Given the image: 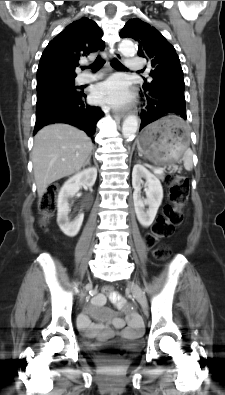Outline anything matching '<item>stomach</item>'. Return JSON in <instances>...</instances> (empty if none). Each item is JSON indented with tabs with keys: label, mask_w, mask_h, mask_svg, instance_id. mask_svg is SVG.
<instances>
[{
	"label": "stomach",
	"mask_w": 225,
	"mask_h": 395,
	"mask_svg": "<svg viewBox=\"0 0 225 395\" xmlns=\"http://www.w3.org/2000/svg\"><path fill=\"white\" fill-rule=\"evenodd\" d=\"M185 127L177 116L163 117L141 132L137 141L138 150L156 164L176 162L189 146Z\"/></svg>",
	"instance_id": "1"
}]
</instances>
